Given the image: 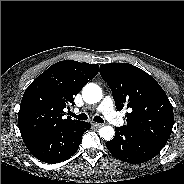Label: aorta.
<instances>
[{
  "label": "aorta",
  "mask_w": 184,
  "mask_h": 184,
  "mask_svg": "<svg viewBox=\"0 0 184 184\" xmlns=\"http://www.w3.org/2000/svg\"><path fill=\"white\" fill-rule=\"evenodd\" d=\"M82 96L86 103L94 104L101 101L103 94L101 88L97 84L89 83L83 88ZM99 135L102 139L109 141L115 135L114 128L111 126H103L99 130Z\"/></svg>",
  "instance_id": "1"
}]
</instances>
